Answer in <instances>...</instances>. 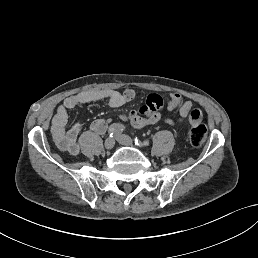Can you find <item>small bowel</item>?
<instances>
[{
    "label": "small bowel",
    "instance_id": "1",
    "mask_svg": "<svg viewBox=\"0 0 258 258\" xmlns=\"http://www.w3.org/2000/svg\"><path fill=\"white\" fill-rule=\"evenodd\" d=\"M133 89L118 91L113 89H88L67 97L57 108L51 121V135L57 147L72 155H77L80 151L78 138L80 135L82 123L76 122L70 128H66L68 123V110L80 104L92 103L106 100L113 108L122 107L135 98ZM163 98L158 94H151L147 97L144 105L138 110L131 111L128 114H122V120L129 121L135 128H144L160 121L162 115L160 110L163 108ZM178 109L180 121L188 119L193 125L202 121V113L199 109L192 108L190 101L183 102L182 97L177 93H170V100L167 104L168 111ZM165 122L171 126L175 121L167 118ZM110 127L108 122L103 119L94 120L90 129L96 134H104ZM109 129V128H108Z\"/></svg>",
    "mask_w": 258,
    "mask_h": 258
}]
</instances>
